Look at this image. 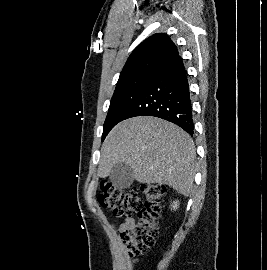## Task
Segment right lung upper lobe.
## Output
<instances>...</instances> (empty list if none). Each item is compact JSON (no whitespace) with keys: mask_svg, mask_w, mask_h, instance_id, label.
I'll use <instances>...</instances> for the list:
<instances>
[{"mask_svg":"<svg viewBox=\"0 0 267 270\" xmlns=\"http://www.w3.org/2000/svg\"><path fill=\"white\" fill-rule=\"evenodd\" d=\"M179 55L176 45L164 33L140 43L127 59L117 85L146 74H156Z\"/></svg>","mask_w":267,"mask_h":270,"instance_id":"cb5924a9","label":"right lung upper lobe"}]
</instances>
